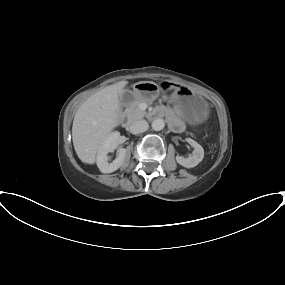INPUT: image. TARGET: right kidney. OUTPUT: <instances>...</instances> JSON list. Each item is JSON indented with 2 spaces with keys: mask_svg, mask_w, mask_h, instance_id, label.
<instances>
[{
  "mask_svg": "<svg viewBox=\"0 0 285 285\" xmlns=\"http://www.w3.org/2000/svg\"><path fill=\"white\" fill-rule=\"evenodd\" d=\"M119 138V132L115 131L111 133L98 150L96 163L102 173H112L120 168L124 163L126 157V149L121 147L117 149L116 159L113 162L108 163L107 154L117 148Z\"/></svg>",
  "mask_w": 285,
  "mask_h": 285,
  "instance_id": "obj_1",
  "label": "right kidney"
}]
</instances>
